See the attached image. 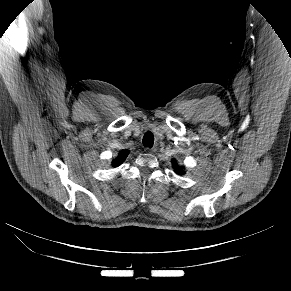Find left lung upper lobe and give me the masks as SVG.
I'll return each mask as SVG.
<instances>
[{
    "label": "left lung upper lobe",
    "mask_w": 291,
    "mask_h": 291,
    "mask_svg": "<svg viewBox=\"0 0 291 291\" xmlns=\"http://www.w3.org/2000/svg\"><path fill=\"white\" fill-rule=\"evenodd\" d=\"M172 163H173V167L175 169V172L178 173V174H184V170L183 168H180L178 165H177V162L175 160H172Z\"/></svg>",
    "instance_id": "left-lung-upper-lobe-1"
}]
</instances>
